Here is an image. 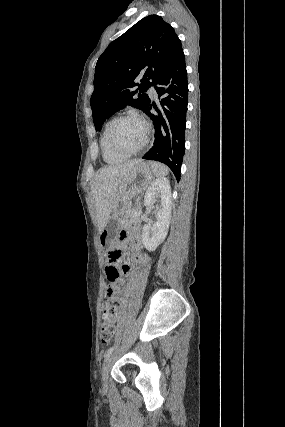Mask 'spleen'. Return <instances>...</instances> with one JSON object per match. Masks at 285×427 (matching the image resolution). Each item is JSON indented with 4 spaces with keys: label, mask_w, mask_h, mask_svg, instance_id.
Instances as JSON below:
<instances>
[{
    "label": "spleen",
    "mask_w": 285,
    "mask_h": 427,
    "mask_svg": "<svg viewBox=\"0 0 285 427\" xmlns=\"http://www.w3.org/2000/svg\"><path fill=\"white\" fill-rule=\"evenodd\" d=\"M150 165L156 177H163L169 173V169L161 163L151 161Z\"/></svg>",
    "instance_id": "spleen-1"
}]
</instances>
